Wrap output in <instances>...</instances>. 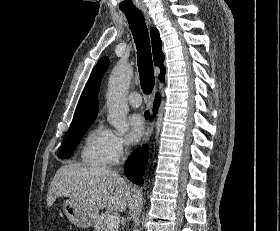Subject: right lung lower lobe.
I'll return each instance as SVG.
<instances>
[{
	"instance_id": "obj_1",
	"label": "right lung lower lobe",
	"mask_w": 280,
	"mask_h": 231,
	"mask_svg": "<svg viewBox=\"0 0 280 231\" xmlns=\"http://www.w3.org/2000/svg\"><path fill=\"white\" fill-rule=\"evenodd\" d=\"M159 102H160V97L158 94H156V98L154 102V111L157 110V106L159 105ZM145 117L146 118L149 117V112L145 113ZM147 159H148L147 146L138 148L128 158L124 169L127 177L133 183L142 185L143 182L142 176L146 168Z\"/></svg>"
}]
</instances>
